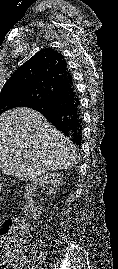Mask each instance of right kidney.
I'll use <instances>...</instances> for the list:
<instances>
[{
    "label": "right kidney",
    "mask_w": 118,
    "mask_h": 269,
    "mask_svg": "<svg viewBox=\"0 0 118 269\" xmlns=\"http://www.w3.org/2000/svg\"><path fill=\"white\" fill-rule=\"evenodd\" d=\"M63 181V177L56 172L53 173H45L38 178H36L31 185L26 187V192L24 196L25 200V208L26 210L32 215L34 219H37L41 214V207L36 206L35 200H34V191L37 188L38 185H48L49 186V195H54L58 189L60 184Z\"/></svg>",
    "instance_id": "1"
}]
</instances>
